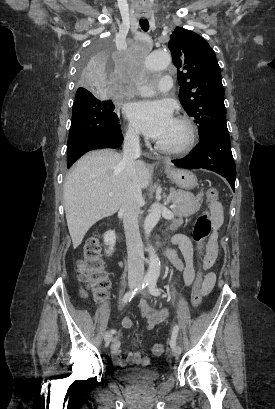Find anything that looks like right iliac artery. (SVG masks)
Wrapping results in <instances>:
<instances>
[{"instance_id": "82829eb1", "label": "right iliac artery", "mask_w": 275, "mask_h": 409, "mask_svg": "<svg viewBox=\"0 0 275 409\" xmlns=\"http://www.w3.org/2000/svg\"><path fill=\"white\" fill-rule=\"evenodd\" d=\"M150 276H145L144 279L142 280L141 284L135 288L134 290H131L129 292H127L123 298H122V303L125 305L126 303L130 302L131 299L138 294L139 291H141L142 289H144L146 286L149 285L150 282ZM111 333H115V330H111Z\"/></svg>"}]
</instances>
